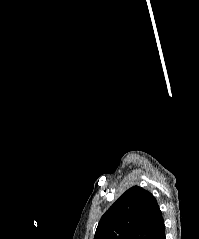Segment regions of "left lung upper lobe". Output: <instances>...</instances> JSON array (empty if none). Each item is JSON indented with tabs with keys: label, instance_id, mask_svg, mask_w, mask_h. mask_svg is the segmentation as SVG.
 <instances>
[{
	"label": "left lung upper lobe",
	"instance_id": "5c2ea615",
	"mask_svg": "<svg viewBox=\"0 0 199 239\" xmlns=\"http://www.w3.org/2000/svg\"><path fill=\"white\" fill-rule=\"evenodd\" d=\"M161 219L154 196L134 186L104 213L94 239H151Z\"/></svg>",
	"mask_w": 199,
	"mask_h": 239
}]
</instances>
